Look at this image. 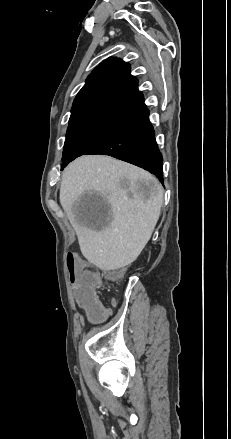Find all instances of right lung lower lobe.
<instances>
[{
	"mask_svg": "<svg viewBox=\"0 0 231 439\" xmlns=\"http://www.w3.org/2000/svg\"><path fill=\"white\" fill-rule=\"evenodd\" d=\"M104 154L139 166L163 180L162 155L144 106L121 121L83 155Z\"/></svg>",
	"mask_w": 231,
	"mask_h": 439,
	"instance_id": "1",
	"label": "right lung lower lobe"
}]
</instances>
